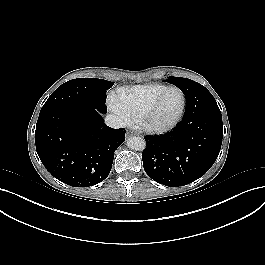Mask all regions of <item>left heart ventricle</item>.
Listing matches in <instances>:
<instances>
[{"mask_svg": "<svg viewBox=\"0 0 265 265\" xmlns=\"http://www.w3.org/2000/svg\"><path fill=\"white\" fill-rule=\"evenodd\" d=\"M181 95L178 91H168L154 111L151 121L155 124H164L170 121L179 111Z\"/></svg>", "mask_w": 265, "mask_h": 265, "instance_id": "left-heart-ventricle-1", "label": "left heart ventricle"}]
</instances>
